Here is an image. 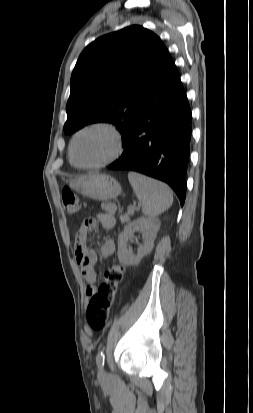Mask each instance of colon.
<instances>
[{
	"instance_id": "obj_1",
	"label": "colon",
	"mask_w": 253,
	"mask_h": 413,
	"mask_svg": "<svg viewBox=\"0 0 253 413\" xmlns=\"http://www.w3.org/2000/svg\"><path fill=\"white\" fill-rule=\"evenodd\" d=\"M63 206L69 215L80 210V202L73 192L65 188L61 193ZM125 274L124 266L114 264L104 274L103 281L91 295L86 312L87 324L91 330L103 329L109 321L110 306Z\"/></svg>"
}]
</instances>
